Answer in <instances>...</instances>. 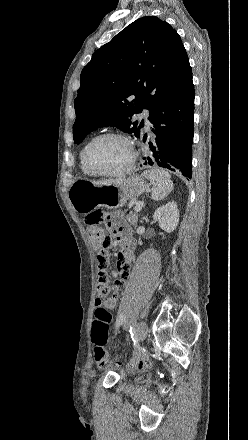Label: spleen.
Wrapping results in <instances>:
<instances>
[{"label": "spleen", "mask_w": 248, "mask_h": 440, "mask_svg": "<svg viewBox=\"0 0 248 440\" xmlns=\"http://www.w3.org/2000/svg\"><path fill=\"white\" fill-rule=\"evenodd\" d=\"M152 184V199L159 201L164 199L173 190L171 175L163 169H150L142 173Z\"/></svg>", "instance_id": "3e777b00"}]
</instances>
